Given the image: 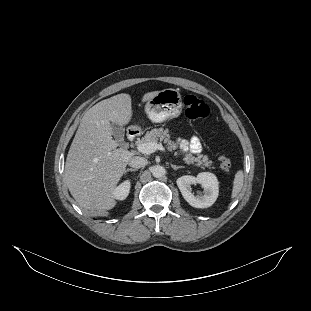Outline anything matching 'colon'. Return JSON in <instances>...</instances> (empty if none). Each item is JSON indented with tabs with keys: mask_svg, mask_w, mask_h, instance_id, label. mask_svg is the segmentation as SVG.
Listing matches in <instances>:
<instances>
[{
	"mask_svg": "<svg viewBox=\"0 0 311 311\" xmlns=\"http://www.w3.org/2000/svg\"><path fill=\"white\" fill-rule=\"evenodd\" d=\"M184 109L185 115L191 120L202 119L208 116L209 114V107L207 103L194 96V95H186L184 97ZM219 165L221 169L224 171H228L231 168V161L228 156L221 155L219 157Z\"/></svg>",
	"mask_w": 311,
	"mask_h": 311,
	"instance_id": "colon-1",
	"label": "colon"
}]
</instances>
